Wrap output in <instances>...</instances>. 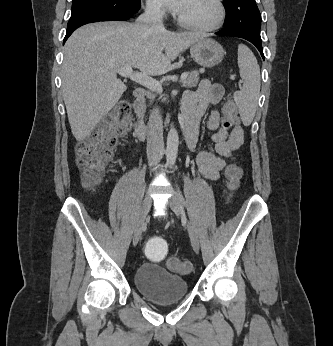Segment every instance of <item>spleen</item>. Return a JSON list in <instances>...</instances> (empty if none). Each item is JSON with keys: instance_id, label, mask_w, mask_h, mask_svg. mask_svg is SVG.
<instances>
[{"instance_id": "1", "label": "spleen", "mask_w": 333, "mask_h": 346, "mask_svg": "<svg viewBox=\"0 0 333 346\" xmlns=\"http://www.w3.org/2000/svg\"><path fill=\"white\" fill-rule=\"evenodd\" d=\"M238 66L243 87L234 94V101L243 123L249 125L255 116L258 105L260 68L252 51L243 44L238 45Z\"/></svg>"}]
</instances>
